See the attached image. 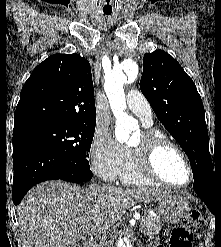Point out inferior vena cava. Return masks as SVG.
Listing matches in <instances>:
<instances>
[{"mask_svg":"<svg viewBox=\"0 0 221 247\" xmlns=\"http://www.w3.org/2000/svg\"><path fill=\"white\" fill-rule=\"evenodd\" d=\"M103 247H109V243H107V241H105V242L103 243Z\"/></svg>","mask_w":221,"mask_h":247,"instance_id":"inferior-vena-cava-1","label":"inferior vena cava"}]
</instances>
